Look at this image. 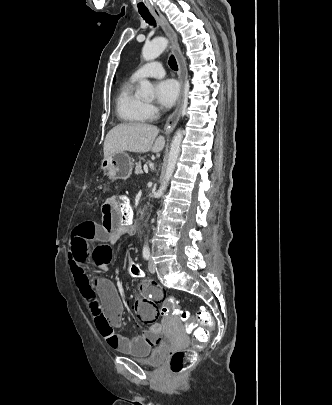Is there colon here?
Segmentation results:
<instances>
[{"label": "colon", "mask_w": 332, "mask_h": 405, "mask_svg": "<svg viewBox=\"0 0 332 405\" xmlns=\"http://www.w3.org/2000/svg\"><path fill=\"white\" fill-rule=\"evenodd\" d=\"M119 197V202L117 208L120 210L121 220L120 222L125 223L133 217V208L130 204L129 198L125 194H117ZM95 266L96 268H115V254L111 253L110 248H95ZM126 262L130 261L129 257L125 258ZM129 272L133 274L136 278H142L144 273L141 271V267L138 266L137 262H131L129 267ZM157 288H161L157 286ZM158 320L170 319L172 314H176L180 317L187 331H191L197 326V321L191 319L190 314L187 310H182L178 306V301L174 296L167 295L163 297L162 306H159ZM172 313V314H171ZM197 318L202 324V328H198L194 331L193 339L197 343H204L209 332L213 329V321L205 309H200L197 312ZM196 359V353L192 349H181L176 350L171 353L170 358V370L173 374H180L190 368Z\"/></svg>", "instance_id": "5ec220e1"}]
</instances>
